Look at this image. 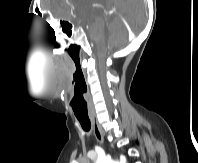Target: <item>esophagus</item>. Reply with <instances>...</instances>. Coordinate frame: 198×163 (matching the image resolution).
Segmentation results:
<instances>
[{
  "label": "esophagus",
  "mask_w": 198,
  "mask_h": 163,
  "mask_svg": "<svg viewBox=\"0 0 198 163\" xmlns=\"http://www.w3.org/2000/svg\"><path fill=\"white\" fill-rule=\"evenodd\" d=\"M91 123L96 140L102 144L104 142V134L97 119L91 118Z\"/></svg>",
  "instance_id": "34e87169"
}]
</instances>
